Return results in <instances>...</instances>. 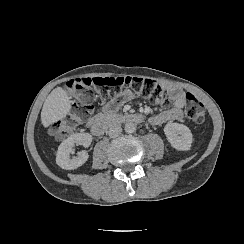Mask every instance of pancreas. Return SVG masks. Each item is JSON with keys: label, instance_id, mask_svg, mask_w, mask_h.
Instances as JSON below:
<instances>
[{"label": "pancreas", "instance_id": "pancreas-1", "mask_svg": "<svg viewBox=\"0 0 244 244\" xmlns=\"http://www.w3.org/2000/svg\"><path fill=\"white\" fill-rule=\"evenodd\" d=\"M104 116H105L106 118H115V117L117 116V114H116L115 112H106V113L104 114Z\"/></svg>", "mask_w": 244, "mask_h": 244}]
</instances>
